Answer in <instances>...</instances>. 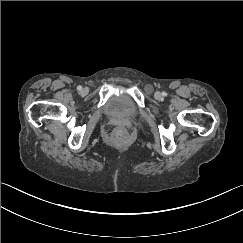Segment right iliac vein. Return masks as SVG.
<instances>
[{
	"mask_svg": "<svg viewBox=\"0 0 243 243\" xmlns=\"http://www.w3.org/2000/svg\"><path fill=\"white\" fill-rule=\"evenodd\" d=\"M87 92H88V90H87L86 88H83V89L81 90V94H83V95H86Z\"/></svg>",
	"mask_w": 243,
	"mask_h": 243,
	"instance_id": "obj_1",
	"label": "right iliac vein"
}]
</instances>
